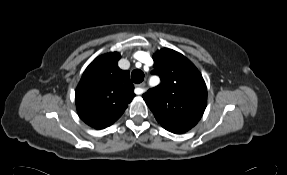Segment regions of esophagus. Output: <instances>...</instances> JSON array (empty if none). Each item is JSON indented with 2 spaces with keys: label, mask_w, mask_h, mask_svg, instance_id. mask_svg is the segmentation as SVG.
Here are the masks:
<instances>
[{
  "label": "esophagus",
  "mask_w": 287,
  "mask_h": 175,
  "mask_svg": "<svg viewBox=\"0 0 287 175\" xmlns=\"http://www.w3.org/2000/svg\"><path fill=\"white\" fill-rule=\"evenodd\" d=\"M144 87H145V83L144 82L136 85V88L138 90L137 94H142L144 92Z\"/></svg>",
  "instance_id": "obj_1"
}]
</instances>
